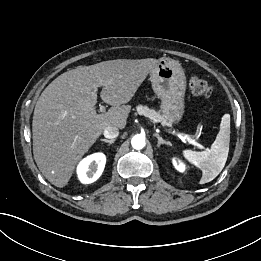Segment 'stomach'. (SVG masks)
I'll use <instances>...</instances> for the list:
<instances>
[{"mask_svg": "<svg viewBox=\"0 0 261 261\" xmlns=\"http://www.w3.org/2000/svg\"><path fill=\"white\" fill-rule=\"evenodd\" d=\"M152 89L161 100V112L171 122L178 123L184 114L186 76L178 61L161 58L150 72Z\"/></svg>", "mask_w": 261, "mask_h": 261, "instance_id": "1", "label": "stomach"}]
</instances>
